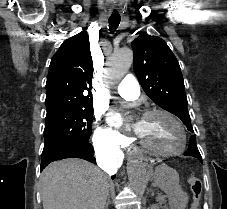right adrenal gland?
Masks as SVG:
<instances>
[{
	"label": "right adrenal gland",
	"instance_id": "2a0ac1e0",
	"mask_svg": "<svg viewBox=\"0 0 227 209\" xmlns=\"http://www.w3.org/2000/svg\"><path fill=\"white\" fill-rule=\"evenodd\" d=\"M109 203H110V199H107V203H106V205H105V209H108Z\"/></svg>",
	"mask_w": 227,
	"mask_h": 209
}]
</instances>
